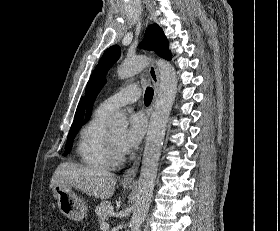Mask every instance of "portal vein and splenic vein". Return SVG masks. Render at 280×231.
<instances>
[{
	"label": "portal vein and splenic vein",
	"instance_id": "18ae733b",
	"mask_svg": "<svg viewBox=\"0 0 280 231\" xmlns=\"http://www.w3.org/2000/svg\"><path fill=\"white\" fill-rule=\"evenodd\" d=\"M100 227L101 229H108V227H110V223H101Z\"/></svg>",
	"mask_w": 280,
	"mask_h": 231
}]
</instances>
